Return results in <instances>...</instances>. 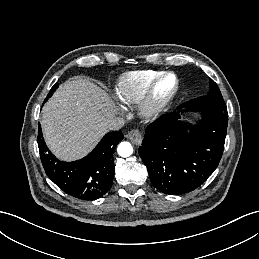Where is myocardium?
<instances>
[{
  "instance_id": "myocardium-1",
  "label": "myocardium",
  "mask_w": 259,
  "mask_h": 259,
  "mask_svg": "<svg viewBox=\"0 0 259 259\" xmlns=\"http://www.w3.org/2000/svg\"><path fill=\"white\" fill-rule=\"evenodd\" d=\"M172 76L174 78V86L171 91L164 97L158 98L156 96V89L161 81L165 78ZM179 89V78L172 71H165L158 75L151 81L146 90L137 101V113L145 119L151 120L157 118L172 102Z\"/></svg>"
}]
</instances>
